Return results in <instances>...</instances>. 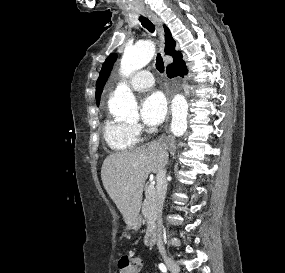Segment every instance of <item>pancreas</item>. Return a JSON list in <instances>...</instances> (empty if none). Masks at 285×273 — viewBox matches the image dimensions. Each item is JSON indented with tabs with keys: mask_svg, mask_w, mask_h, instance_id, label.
I'll return each instance as SVG.
<instances>
[{
	"mask_svg": "<svg viewBox=\"0 0 285 273\" xmlns=\"http://www.w3.org/2000/svg\"><path fill=\"white\" fill-rule=\"evenodd\" d=\"M156 213L155 206V189H146L145 200L142 206V214L146 218V220H151Z\"/></svg>",
	"mask_w": 285,
	"mask_h": 273,
	"instance_id": "1",
	"label": "pancreas"
}]
</instances>
